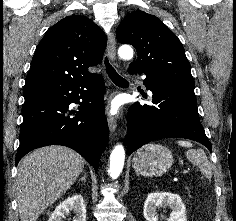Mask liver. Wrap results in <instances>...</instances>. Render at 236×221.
I'll return each instance as SVG.
<instances>
[{"mask_svg":"<svg viewBox=\"0 0 236 221\" xmlns=\"http://www.w3.org/2000/svg\"><path fill=\"white\" fill-rule=\"evenodd\" d=\"M85 161L74 150L46 146L25 156L18 167L16 200L21 221H36L76 181Z\"/></svg>","mask_w":236,"mask_h":221,"instance_id":"obj_1","label":"liver"}]
</instances>
